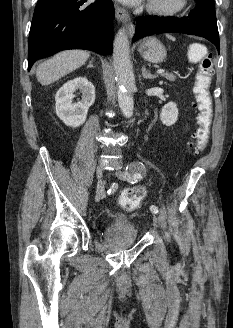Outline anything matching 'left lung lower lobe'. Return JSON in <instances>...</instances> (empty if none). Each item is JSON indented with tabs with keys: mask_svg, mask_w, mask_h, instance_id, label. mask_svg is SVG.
Returning <instances> with one entry per match:
<instances>
[{
	"mask_svg": "<svg viewBox=\"0 0 233 328\" xmlns=\"http://www.w3.org/2000/svg\"><path fill=\"white\" fill-rule=\"evenodd\" d=\"M185 33L204 37L211 41L219 52V34L215 12L200 7L193 9L187 17L173 19L154 16L139 18L133 41L155 33Z\"/></svg>",
	"mask_w": 233,
	"mask_h": 328,
	"instance_id": "left-lung-lower-lobe-1",
	"label": "left lung lower lobe"
}]
</instances>
